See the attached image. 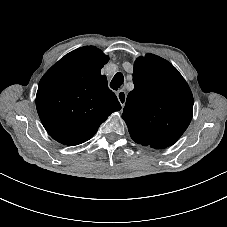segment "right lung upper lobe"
I'll use <instances>...</instances> for the list:
<instances>
[{"label":"right lung upper lobe","instance_id":"right-lung-upper-lobe-1","mask_svg":"<svg viewBox=\"0 0 227 227\" xmlns=\"http://www.w3.org/2000/svg\"><path fill=\"white\" fill-rule=\"evenodd\" d=\"M109 58L93 46L78 48L42 77L36 95L41 122L56 141L78 145L89 140L114 111L121 109L101 68Z\"/></svg>","mask_w":227,"mask_h":227}]
</instances>
